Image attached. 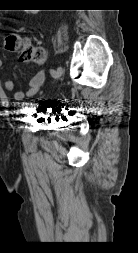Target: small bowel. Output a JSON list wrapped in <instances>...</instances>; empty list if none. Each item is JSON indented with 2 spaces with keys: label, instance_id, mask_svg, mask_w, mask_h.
I'll return each mask as SVG.
<instances>
[{
  "label": "small bowel",
  "instance_id": "1",
  "mask_svg": "<svg viewBox=\"0 0 138 253\" xmlns=\"http://www.w3.org/2000/svg\"><path fill=\"white\" fill-rule=\"evenodd\" d=\"M27 45H29V43L27 41L24 42V46H27ZM2 63L3 62L0 57V67L2 66ZM45 79H46V72L44 70H40L30 79L29 84H28V90L26 93H24L23 91H15L14 82L11 80L5 81L4 89L7 92H13V98L16 101H21L26 97L30 98L34 96L35 94H37L38 91L40 90V87L44 83Z\"/></svg>",
  "mask_w": 138,
  "mask_h": 253
}]
</instances>
